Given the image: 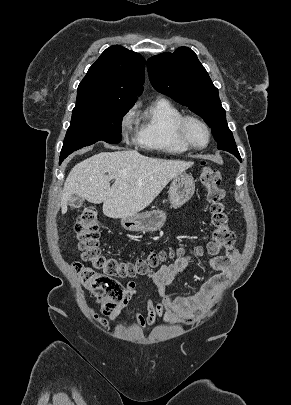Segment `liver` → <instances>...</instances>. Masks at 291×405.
Returning a JSON list of instances; mask_svg holds the SVG:
<instances>
[{
	"label": "liver",
	"instance_id": "1",
	"mask_svg": "<svg viewBox=\"0 0 291 405\" xmlns=\"http://www.w3.org/2000/svg\"><path fill=\"white\" fill-rule=\"evenodd\" d=\"M192 162L149 158L135 150L101 152L75 165L65 180L62 214L74 197L103 203L110 218L132 216L149 206L165 186ZM115 182L110 186V181Z\"/></svg>",
	"mask_w": 291,
	"mask_h": 405
}]
</instances>
